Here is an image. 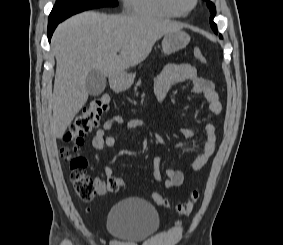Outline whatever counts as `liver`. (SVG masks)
Listing matches in <instances>:
<instances>
[{
	"label": "liver",
	"mask_w": 283,
	"mask_h": 245,
	"mask_svg": "<svg viewBox=\"0 0 283 245\" xmlns=\"http://www.w3.org/2000/svg\"><path fill=\"white\" fill-rule=\"evenodd\" d=\"M182 25L149 16L106 15L92 11L61 23L52 39L56 58L51 128L62 138L88 100L86 78L98 70L114 78L150 54L163 35ZM119 52L118 55L116 53Z\"/></svg>",
	"instance_id": "1"
}]
</instances>
